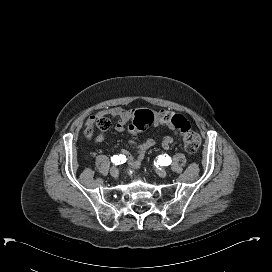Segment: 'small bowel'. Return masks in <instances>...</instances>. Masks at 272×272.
I'll list each match as a JSON object with an SVG mask.
<instances>
[{"mask_svg":"<svg viewBox=\"0 0 272 272\" xmlns=\"http://www.w3.org/2000/svg\"><path fill=\"white\" fill-rule=\"evenodd\" d=\"M154 115V122L153 126H160V127H168L174 130V127L171 123V118L174 115V112L167 111V110H160L153 113ZM97 116H110L116 119L115 130L117 132H134L139 130L137 128H132L130 121L134 116V112L132 110H127L122 107H111L105 109L96 115L91 116L86 123V132H88L96 119ZM146 128V127H144ZM142 128V129H144ZM105 140L104 134H99L95 138V143H102ZM173 143V138L170 136H166L162 139L161 145L164 150H168ZM156 145V140L153 138H148L144 142L140 144L134 145V149L137 153V157L130 162L129 168L130 169H137L140 166L141 158L144 156L145 152ZM122 153H126L125 150Z\"/></svg>","mask_w":272,"mask_h":272,"instance_id":"c3829d8e","label":"small bowel"}]
</instances>
